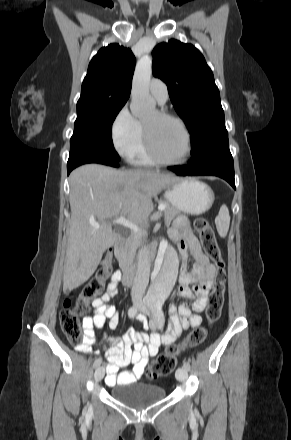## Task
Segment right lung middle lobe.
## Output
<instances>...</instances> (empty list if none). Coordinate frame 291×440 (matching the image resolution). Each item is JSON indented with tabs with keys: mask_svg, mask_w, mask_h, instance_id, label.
I'll use <instances>...</instances> for the list:
<instances>
[{
	"mask_svg": "<svg viewBox=\"0 0 291 440\" xmlns=\"http://www.w3.org/2000/svg\"><path fill=\"white\" fill-rule=\"evenodd\" d=\"M125 102L101 101L77 104V119L70 139V154L84 151L106 155L115 161L112 123Z\"/></svg>",
	"mask_w": 291,
	"mask_h": 440,
	"instance_id": "right-lung-middle-lobe-1",
	"label": "right lung middle lobe"
}]
</instances>
